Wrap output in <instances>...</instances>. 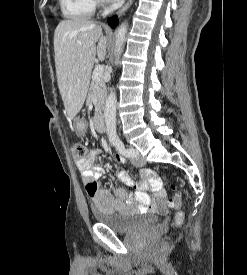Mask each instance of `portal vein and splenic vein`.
Returning <instances> with one entry per match:
<instances>
[{
    "label": "portal vein and splenic vein",
    "instance_id": "18ae733b",
    "mask_svg": "<svg viewBox=\"0 0 247 275\" xmlns=\"http://www.w3.org/2000/svg\"><path fill=\"white\" fill-rule=\"evenodd\" d=\"M103 71H104L103 66L98 65L97 67H95L93 71L92 79L96 81L100 80L103 75Z\"/></svg>",
    "mask_w": 247,
    "mask_h": 275
}]
</instances>
